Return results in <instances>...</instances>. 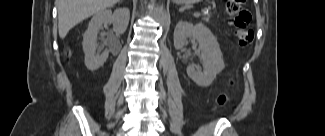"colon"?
I'll return each instance as SVG.
<instances>
[{
  "label": "colon",
  "instance_id": "obj_1",
  "mask_svg": "<svg viewBox=\"0 0 325 136\" xmlns=\"http://www.w3.org/2000/svg\"><path fill=\"white\" fill-rule=\"evenodd\" d=\"M246 0H227L226 10L231 16L230 24L234 27V34L238 44L241 47L249 46L253 39L254 33L249 28L251 15L243 8ZM228 102L227 95H221L218 98V104L224 106Z\"/></svg>",
  "mask_w": 325,
  "mask_h": 136
}]
</instances>
